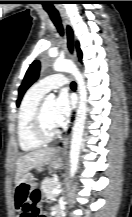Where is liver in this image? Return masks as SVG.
<instances>
[{
	"instance_id": "liver-1",
	"label": "liver",
	"mask_w": 132,
	"mask_h": 217,
	"mask_svg": "<svg viewBox=\"0 0 132 217\" xmlns=\"http://www.w3.org/2000/svg\"><path fill=\"white\" fill-rule=\"evenodd\" d=\"M56 148H40L20 156L16 161L15 184L33 168H40L54 158Z\"/></svg>"
}]
</instances>
